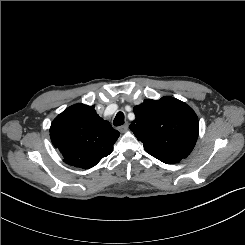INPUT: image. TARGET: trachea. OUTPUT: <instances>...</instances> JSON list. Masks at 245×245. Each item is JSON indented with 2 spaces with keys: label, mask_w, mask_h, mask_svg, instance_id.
Here are the masks:
<instances>
[{
  "label": "trachea",
  "mask_w": 245,
  "mask_h": 245,
  "mask_svg": "<svg viewBox=\"0 0 245 245\" xmlns=\"http://www.w3.org/2000/svg\"><path fill=\"white\" fill-rule=\"evenodd\" d=\"M114 126H121L124 124V114L123 112H118L113 121Z\"/></svg>",
  "instance_id": "1"
}]
</instances>
